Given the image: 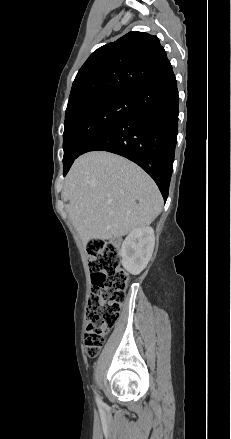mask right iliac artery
Instances as JSON below:
<instances>
[{
  "label": "right iliac artery",
  "instance_id": "right-iliac-artery-1",
  "mask_svg": "<svg viewBox=\"0 0 231 439\" xmlns=\"http://www.w3.org/2000/svg\"><path fill=\"white\" fill-rule=\"evenodd\" d=\"M97 403H98L99 405H102V402H101V400H100L99 398H97Z\"/></svg>",
  "mask_w": 231,
  "mask_h": 439
}]
</instances>
